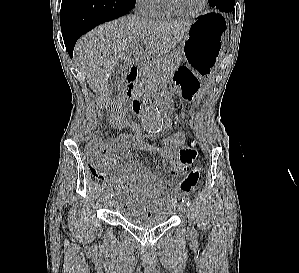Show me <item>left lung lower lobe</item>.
<instances>
[{
	"label": "left lung lower lobe",
	"mask_w": 299,
	"mask_h": 273,
	"mask_svg": "<svg viewBox=\"0 0 299 273\" xmlns=\"http://www.w3.org/2000/svg\"><path fill=\"white\" fill-rule=\"evenodd\" d=\"M234 3L235 0H220L213 8L226 13H234Z\"/></svg>",
	"instance_id": "left-lung-lower-lobe-1"
}]
</instances>
